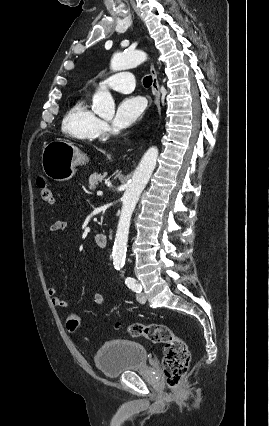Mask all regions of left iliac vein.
<instances>
[{
	"label": "left iliac vein",
	"mask_w": 269,
	"mask_h": 426,
	"mask_svg": "<svg viewBox=\"0 0 269 426\" xmlns=\"http://www.w3.org/2000/svg\"><path fill=\"white\" fill-rule=\"evenodd\" d=\"M136 297L139 303L143 304L146 302V296L143 293H138Z\"/></svg>",
	"instance_id": "obj_1"
}]
</instances>
